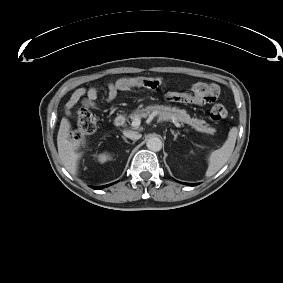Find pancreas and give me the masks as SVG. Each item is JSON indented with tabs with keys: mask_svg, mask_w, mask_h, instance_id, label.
Listing matches in <instances>:
<instances>
[{
	"mask_svg": "<svg viewBox=\"0 0 283 283\" xmlns=\"http://www.w3.org/2000/svg\"><path fill=\"white\" fill-rule=\"evenodd\" d=\"M156 113L158 118L163 121L175 120L181 123H187L194 126L196 129H200L209 133H213L214 130L208 125H203L204 121L191 118L185 110L178 109L176 107H169L163 105L148 106L146 108L136 110L131 117L145 118L152 113Z\"/></svg>",
	"mask_w": 283,
	"mask_h": 283,
	"instance_id": "1",
	"label": "pancreas"
}]
</instances>
